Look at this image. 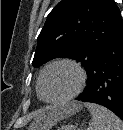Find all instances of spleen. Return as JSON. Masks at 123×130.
I'll return each mask as SVG.
<instances>
[{"label": "spleen", "instance_id": "obj_1", "mask_svg": "<svg viewBox=\"0 0 123 130\" xmlns=\"http://www.w3.org/2000/svg\"><path fill=\"white\" fill-rule=\"evenodd\" d=\"M92 119L87 130H123V121L107 108L94 103H85Z\"/></svg>", "mask_w": 123, "mask_h": 130}]
</instances>
